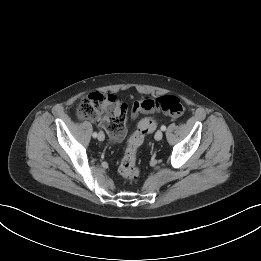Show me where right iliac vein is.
I'll return each instance as SVG.
<instances>
[{
    "mask_svg": "<svg viewBox=\"0 0 261 261\" xmlns=\"http://www.w3.org/2000/svg\"><path fill=\"white\" fill-rule=\"evenodd\" d=\"M104 139H105L104 133H103V132H99V134H98V140H99V141H103Z\"/></svg>",
    "mask_w": 261,
    "mask_h": 261,
    "instance_id": "obj_1",
    "label": "right iliac vein"
}]
</instances>
